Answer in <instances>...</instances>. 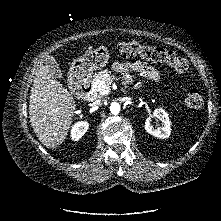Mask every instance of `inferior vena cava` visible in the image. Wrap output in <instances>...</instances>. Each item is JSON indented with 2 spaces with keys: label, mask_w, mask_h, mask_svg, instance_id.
<instances>
[{
  "label": "inferior vena cava",
  "mask_w": 221,
  "mask_h": 221,
  "mask_svg": "<svg viewBox=\"0 0 221 221\" xmlns=\"http://www.w3.org/2000/svg\"><path fill=\"white\" fill-rule=\"evenodd\" d=\"M101 102V100H98V103H100Z\"/></svg>",
  "instance_id": "inferior-vena-cava-1"
}]
</instances>
